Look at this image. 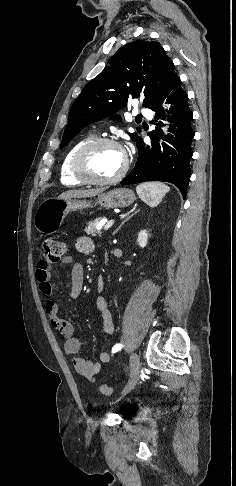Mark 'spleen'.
Returning a JSON list of instances; mask_svg holds the SVG:
<instances>
[{
	"instance_id": "1",
	"label": "spleen",
	"mask_w": 236,
	"mask_h": 486,
	"mask_svg": "<svg viewBox=\"0 0 236 486\" xmlns=\"http://www.w3.org/2000/svg\"><path fill=\"white\" fill-rule=\"evenodd\" d=\"M169 190V186L160 182H145L136 187L140 199L150 207H156Z\"/></svg>"
}]
</instances>
